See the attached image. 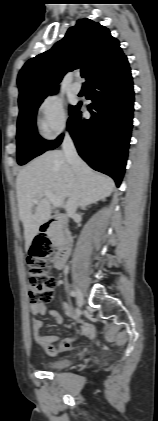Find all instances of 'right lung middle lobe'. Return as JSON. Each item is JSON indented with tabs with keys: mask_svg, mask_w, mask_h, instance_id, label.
Returning a JSON list of instances; mask_svg holds the SVG:
<instances>
[{
	"mask_svg": "<svg viewBox=\"0 0 158 421\" xmlns=\"http://www.w3.org/2000/svg\"><path fill=\"white\" fill-rule=\"evenodd\" d=\"M53 92L52 94H54ZM48 94H43L29 101L19 104L17 122V159L19 165H24L34 157L45 152L51 141L44 140L37 134L36 113L43 99ZM75 106H70V113Z\"/></svg>",
	"mask_w": 158,
	"mask_h": 421,
	"instance_id": "dd1d6c3e",
	"label": "right lung middle lobe"
}]
</instances>
